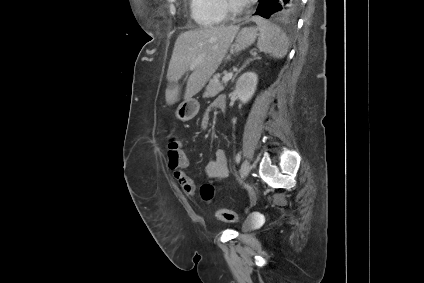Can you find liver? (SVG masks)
Wrapping results in <instances>:
<instances>
[{
    "instance_id": "obj_1",
    "label": "liver",
    "mask_w": 424,
    "mask_h": 283,
    "mask_svg": "<svg viewBox=\"0 0 424 283\" xmlns=\"http://www.w3.org/2000/svg\"><path fill=\"white\" fill-rule=\"evenodd\" d=\"M240 27L231 25L212 26L181 33L176 39L169 63L167 79L176 82L189 70L190 75L184 98L196 95L216 72ZM179 87L169 85L165 92L166 102L178 101Z\"/></svg>"
}]
</instances>
